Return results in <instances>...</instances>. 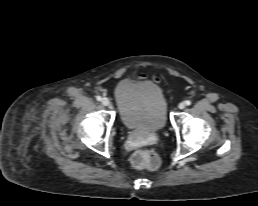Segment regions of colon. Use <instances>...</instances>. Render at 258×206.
Masks as SVG:
<instances>
[{
  "label": "colon",
  "instance_id": "5ec220e1",
  "mask_svg": "<svg viewBox=\"0 0 258 206\" xmlns=\"http://www.w3.org/2000/svg\"><path fill=\"white\" fill-rule=\"evenodd\" d=\"M132 163L137 168L153 169L159 164V157L152 149H139L133 154Z\"/></svg>",
  "mask_w": 258,
  "mask_h": 206
}]
</instances>
